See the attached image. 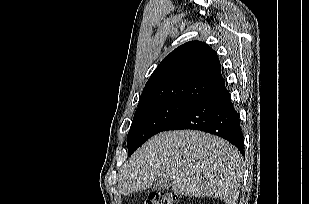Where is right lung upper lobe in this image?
Returning <instances> with one entry per match:
<instances>
[{
    "label": "right lung upper lobe",
    "mask_w": 309,
    "mask_h": 204,
    "mask_svg": "<svg viewBox=\"0 0 309 204\" xmlns=\"http://www.w3.org/2000/svg\"><path fill=\"white\" fill-rule=\"evenodd\" d=\"M225 89L216 52L203 42L191 41L172 51L158 65L139 104L157 100L198 103Z\"/></svg>",
    "instance_id": "1"
}]
</instances>
